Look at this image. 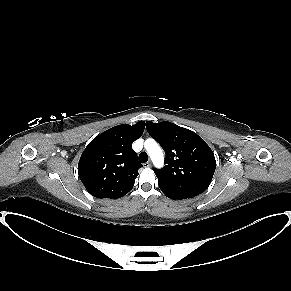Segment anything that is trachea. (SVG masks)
I'll list each match as a JSON object with an SVG mask.
<instances>
[{
    "label": "trachea",
    "instance_id": "1",
    "mask_svg": "<svg viewBox=\"0 0 291 291\" xmlns=\"http://www.w3.org/2000/svg\"><path fill=\"white\" fill-rule=\"evenodd\" d=\"M139 161L142 162V163H145V162L148 161V156H147V153L146 152L140 153V155H139Z\"/></svg>",
    "mask_w": 291,
    "mask_h": 291
}]
</instances>
